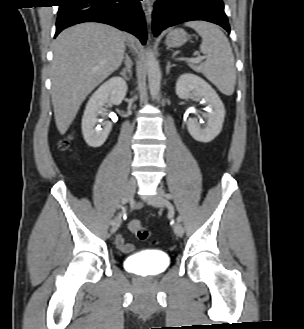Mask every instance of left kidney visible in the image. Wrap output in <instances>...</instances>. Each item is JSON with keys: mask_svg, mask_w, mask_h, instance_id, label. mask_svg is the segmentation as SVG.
I'll list each match as a JSON object with an SVG mask.
<instances>
[{"mask_svg": "<svg viewBox=\"0 0 304 329\" xmlns=\"http://www.w3.org/2000/svg\"><path fill=\"white\" fill-rule=\"evenodd\" d=\"M176 94L181 99L197 97L203 99L210 109L204 126L196 118H189L187 128L190 135L199 142L208 143L219 135L225 117V108L216 91L201 77L186 73L176 82Z\"/></svg>", "mask_w": 304, "mask_h": 329, "instance_id": "5707ae66", "label": "left kidney"}]
</instances>
